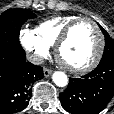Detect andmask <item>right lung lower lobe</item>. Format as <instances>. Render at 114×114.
<instances>
[{"label": "right lung lower lobe", "mask_w": 114, "mask_h": 114, "mask_svg": "<svg viewBox=\"0 0 114 114\" xmlns=\"http://www.w3.org/2000/svg\"><path fill=\"white\" fill-rule=\"evenodd\" d=\"M43 77L42 67L26 62L24 51L0 50V114L25 109L32 97L31 84Z\"/></svg>", "instance_id": "obj_1"}]
</instances>
